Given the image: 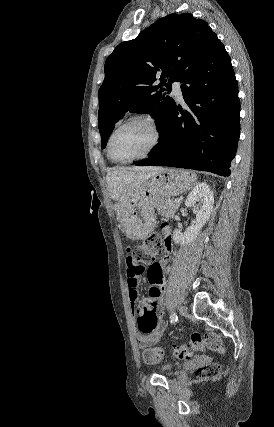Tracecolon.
<instances>
[{
  "label": "colon",
  "mask_w": 274,
  "mask_h": 427,
  "mask_svg": "<svg viewBox=\"0 0 274 427\" xmlns=\"http://www.w3.org/2000/svg\"><path fill=\"white\" fill-rule=\"evenodd\" d=\"M129 251L131 257L135 259L133 266L138 268H140V264L155 259L157 253H164L160 244V237L157 234H151ZM204 348L224 352L217 334L207 332L203 335L195 332L191 335L190 341L173 346L171 355L177 359H188L195 352ZM141 355L143 364H156L157 359H166L167 352L162 347H145ZM221 375L222 367L218 363L207 364L199 370V376L202 379H218Z\"/></svg>",
  "instance_id": "5ec220e1"
}]
</instances>
